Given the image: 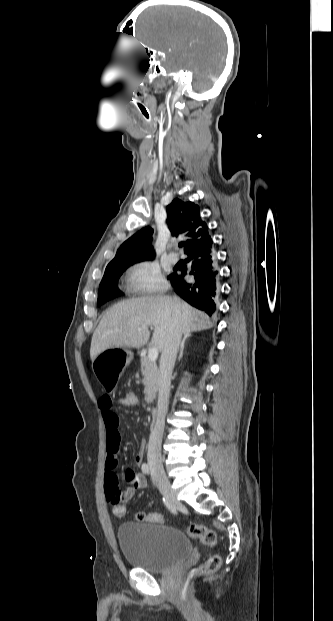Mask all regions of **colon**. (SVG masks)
I'll return each instance as SVG.
<instances>
[{
	"label": "colon",
	"instance_id": "colon-1",
	"mask_svg": "<svg viewBox=\"0 0 333 621\" xmlns=\"http://www.w3.org/2000/svg\"><path fill=\"white\" fill-rule=\"evenodd\" d=\"M121 404L127 408L137 407L139 405V396L136 393V391L132 389L126 391L125 394L121 397ZM113 513L118 517L123 516L125 513L124 506L118 505L114 507ZM136 519L139 521H147V522H152V523H163L164 522L163 516L157 513L145 514V513L139 512L136 515ZM188 534L191 537L200 540L203 544L209 547H213L217 543V536H216L215 531L204 525L191 524L188 527ZM220 563H221L220 557L218 555H212L199 567L190 571L187 581L180 591L181 600L186 601L188 598L189 583L191 579L197 576H204V575H209V574L214 573L215 571L218 570Z\"/></svg>",
	"mask_w": 333,
	"mask_h": 621
}]
</instances>
